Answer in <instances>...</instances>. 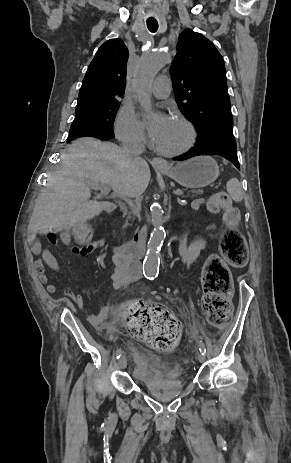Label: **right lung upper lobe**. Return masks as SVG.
I'll list each match as a JSON object with an SVG mask.
<instances>
[{
	"instance_id": "right-lung-upper-lobe-1",
	"label": "right lung upper lobe",
	"mask_w": 291,
	"mask_h": 463,
	"mask_svg": "<svg viewBox=\"0 0 291 463\" xmlns=\"http://www.w3.org/2000/svg\"><path fill=\"white\" fill-rule=\"evenodd\" d=\"M128 57V49L119 38L100 46L83 79L75 117L119 102L125 90Z\"/></svg>"
}]
</instances>
